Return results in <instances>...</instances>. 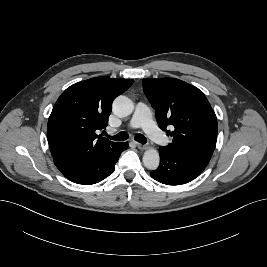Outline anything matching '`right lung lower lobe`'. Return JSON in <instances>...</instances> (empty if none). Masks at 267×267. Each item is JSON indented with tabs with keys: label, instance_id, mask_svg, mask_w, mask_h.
<instances>
[{
	"label": "right lung lower lobe",
	"instance_id": "1",
	"mask_svg": "<svg viewBox=\"0 0 267 267\" xmlns=\"http://www.w3.org/2000/svg\"><path fill=\"white\" fill-rule=\"evenodd\" d=\"M127 148L128 144L120 143L109 151L93 156L54 159V163L70 181L83 185L95 184L114 171L120 154Z\"/></svg>",
	"mask_w": 267,
	"mask_h": 267
}]
</instances>
